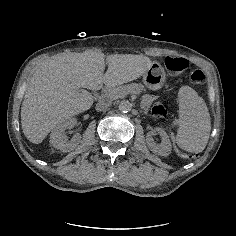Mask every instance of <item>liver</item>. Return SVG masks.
Masks as SVG:
<instances>
[{
	"mask_svg": "<svg viewBox=\"0 0 236 236\" xmlns=\"http://www.w3.org/2000/svg\"><path fill=\"white\" fill-rule=\"evenodd\" d=\"M145 61L139 55H108L85 50L45 57L36 66L21 107V125L26 138L41 143L49 132L93 104L86 89L97 91L103 84L115 87L145 73ZM80 88H83L80 90Z\"/></svg>",
	"mask_w": 236,
	"mask_h": 236,
	"instance_id": "obj_1",
	"label": "liver"
}]
</instances>
